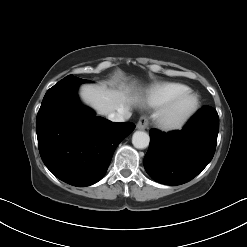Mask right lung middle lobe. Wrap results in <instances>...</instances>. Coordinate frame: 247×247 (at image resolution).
I'll return each mask as SVG.
<instances>
[{
    "label": "right lung middle lobe",
    "mask_w": 247,
    "mask_h": 247,
    "mask_svg": "<svg viewBox=\"0 0 247 247\" xmlns=\"http://www.w3.org/2000/svg\"><path fill=\"white\" fill-rule=\"evenodd\" d=\"M72 78H74V76L73 75H69V76L65 77L64 79H72Z\"/></svg>",
    "instance_id": "right-lung-middle-lobe-1"
}]
</instances>
